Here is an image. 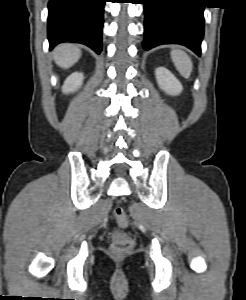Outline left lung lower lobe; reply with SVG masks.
I'll return each mask as SVG.
<instances>
[{"instance_id": "obj_1", "label": "left lung lower lobe", "mask_w": 246, "mask_h": 300, "mask_svg": "<svg viewBox=\"0 0 246 300\" xmlns=\"http://www.w3.org/2000/svg\"><path fill=\"white\" fill-rule=\"evenodd\" d=\"M199 0H144L145 50L161 44H181L198 56L204 34V5Z\"/></svg>"}]
</instances>
